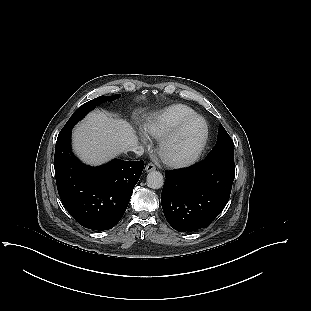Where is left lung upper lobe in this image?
Listing matches in <instances>:
<instances>
[{"mask_svg": "<svg viewBox=\"0 0 311 311\" xmlns=\"http://www.w3.org/2000/svg\"><path fill=\"white\" fill-rule=\"evenodd\" d=\"M206 159H224L234 161V143L222 125L218 129L217 144Z\"/></svg>", "mask_w": 311, "mask_h": 311, "instance_id": "left-lung-upper-lobe-1", "label": "left lung upper lobe"}]
</instances>
